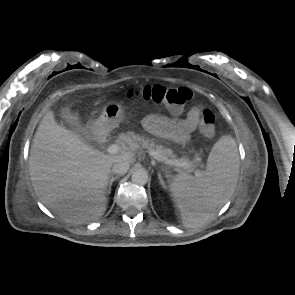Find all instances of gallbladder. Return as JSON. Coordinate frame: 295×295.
<instances>
[{"label":"gallbladder","instance_id":"obj_1","mask_svg":"<svg viewBox=\"0 0 295 295\" xmlns=\"http://www.w3.org/2000/svg\"><path fill=\"white\" fill-rule=\"evenodd\" d=\"M61 116L66 121V123L71 127L76 125L78 122V116L71 113L68 108H63L61 110ZM73 130L76 132L77 128H73Z\"/></svg>","mask_w":295,"mask_h":295}]
</instances>
